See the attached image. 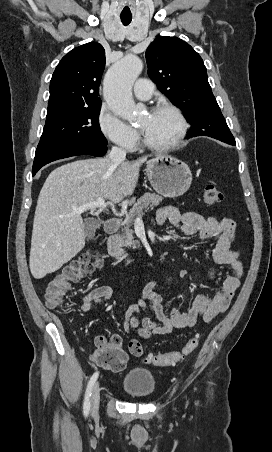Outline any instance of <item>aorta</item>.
Returning a JSON list of instances; mask_svg holds the SVG:
<instances>
[{
	"mask_svg": "<svg viewBox=\"0 0 272 452\" xmlns=\"http://www.w3.org/2000/svg\"><path fill=\"white\" fill-rule=\"evenodd\" d=\"M143 69L141 59L125 56L115 63L104 78L103 95L110 110L124 120H132L138 114L132 97V86Z\"/></svg>",
	"mask_w": 272,
	"mask_h": 452,
	"instance_id": "obj_1",
	"label": "aorta"
}]
</instances>
